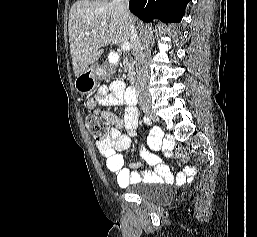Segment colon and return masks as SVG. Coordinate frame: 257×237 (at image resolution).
Returning <instances> with one entry per match:
<instances>
[{
	"label": "colon",
	"mask_w": 257,
	"mask_h": 237,
	"mask_svg": "<svg viewBox=\"0 0 257 237\" xmlns=\"http://www.w3.org/2000/svg\"><path fill=\"white\" fill-rule=\"evenodd\" d=\"M87 126L91 136L97 140H104L108 136V122L98 116H89L87 118Z\"/></svg>",
	"instance_id": "colon-1"
}]
</instances>
